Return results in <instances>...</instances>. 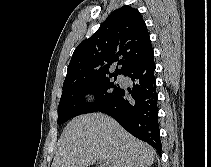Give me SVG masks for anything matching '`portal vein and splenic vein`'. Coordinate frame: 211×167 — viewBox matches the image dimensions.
Here are the masks:
<instances>
[{"instance_id":"obj_1","label":"portal vein and splenic vein","mask_w":211,"mask_h":167,"mask_svg":"<svg viewBox=\"0 0 211 167\" xmlns=\"http://www.w3.org/2000/svg\"><path fill=\"white\" fill-rule=\"evenodd\" d=\"M99 164H100V167H107V162L104 160L100 161Z\"/></svg>"}]
</instances>
